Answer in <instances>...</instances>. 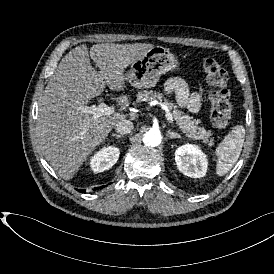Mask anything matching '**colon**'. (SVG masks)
Instances as JSON below:
<instances>
[{"label": "colon", "mask_w": 274, "mask_h": 274, "mask_svg": "<svg viewBox=\"0 0 274 274\" xmlns=\"http://www.w3.org/2000/svg\"><path fill=\"white\" fill-rule=\"evenodd\" d=\"M207 81L213 89L209 94L211 103L210 117L217 127H225L232 117L231 91L228 86V73L213 57L201 60Z\"/></svg>", "instance_id": "colon-1"}]
</instances>
